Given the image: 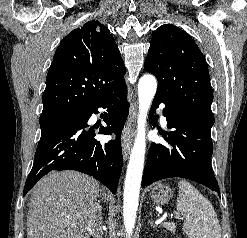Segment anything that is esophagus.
<instances>
[{"label":"esophagus","instance_id":"34e87169","mask_svg":"<svg viewBox=\"0 0 247 238\" xmlns=\"http://www.w3.org/2000/svg\"><path fill=\"white\" fill-rule=\"evenodd\" d=\"M136 117H137V105L135 102H132L130 106L129 116L124 126L123 135H122V151H123L124 160H127L132 147Z\"/></svg>","mask_w":247,"mask_h":238}]
</instances>
